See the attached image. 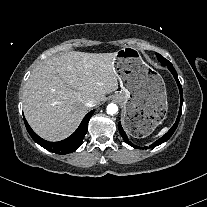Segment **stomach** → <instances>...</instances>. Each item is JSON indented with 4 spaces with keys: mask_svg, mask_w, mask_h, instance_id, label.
Returning <instances> with one entry per match:
<instances>
[{
    "mask_svg": "<svg viewBox=\"0 0 207 207\" xmlns=\"http://www.w3.org/2000/svg\"><path fill=\"white\" fill-rule=\"evenodd\" d=\"M114 67L121 91L114 96L124 110V123L135 136L148 135L162 122L168 109L162 77L152 72L132 47L118 50Z\"/></svg>",
    "mask_w": 207,
    "mask_h": 207,
    "instance_id": "obj_1",
    "label": "stomach"
}]
</instances>
